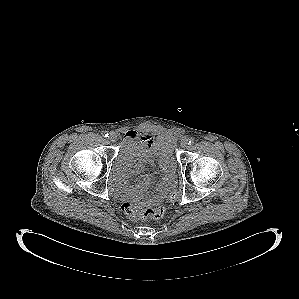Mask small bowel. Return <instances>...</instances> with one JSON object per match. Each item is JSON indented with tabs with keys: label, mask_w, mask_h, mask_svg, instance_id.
Listing matches in <instances>:
<instances>
[{
	"label": "small bowel",
	"mask_w": 299,
	"mask_h": 299,
	"mask_svg": "<svg viewBox=\"0 0 299 299\" xmlns=\"http://www.w3.org/2000/svg\"><path fill=\"white\" fill-rule=\"evenodd\" d=\"M125 137L138 143L137 150L127 157L125 167L134 174H140L144 171L146 165L154 163L152 145L155 137L149 134H139L135 131H128ZM158 165L164 175L162 180L157 184L153 197V200L156 202L163 200L175 184L174 160L172 158H158ZM151 179L152 175H145L138 180L134 187H130L126 177L121 181L122 192L127 198H136L138 195L148 191Z\"/></svg>",
	"instance_id": "obj_1"
}]
</instances>
